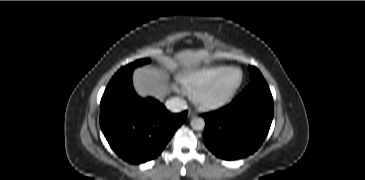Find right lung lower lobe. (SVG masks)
<instances>
[{
  "instance_id": "98d812e1",
  "label": "right lung lower lobe",
  "mask_w": 365,
  "mask_h": 180,
  "mask_svg": "<svg viewBox=\"0 0 365 180\" xmlns=\"http://www.w3.org/2000/svg\"><path fill=\"white\" fill-rule=\"evenodd\" d=\"M132 71L115 75L100 103V126L114 152L129 163L157 157L186 118L172 114L152 98L142 99L132 86Z\"/></svg>"
}]
</instances>
